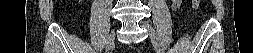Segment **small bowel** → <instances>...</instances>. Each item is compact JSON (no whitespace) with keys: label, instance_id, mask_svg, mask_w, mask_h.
<instances>
[{"label":"small bowel","instance_id":"obj_1","mask_svg":"<svg viewBox=\"0 0 253 53\" xmlns=\"http://www.w3.org/2000/svg\"><path fill=\"white\" fill-rule=\"evenodd\" d=\"M177 4H178V3L176 2V3H175V6H177Z\"/></svg>","mask_w":253,"mask_h":53}]
</instances>
